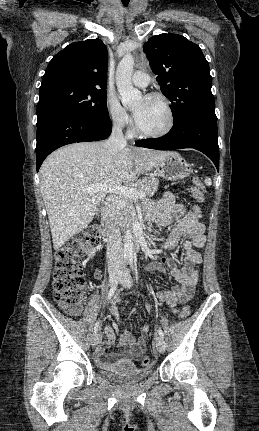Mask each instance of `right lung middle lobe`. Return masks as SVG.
<instances>
[{
  "instance_id": "obj_1",
  "label": "right lung middle lobe",
  "mask_w": 259,
  "mask_h": 431,
  "mask_svg": "<svg viewBox=\"0 0 259 431\" xmlns=\"http://www.w3.org/2000/svg\"><path fill=\"white\" fill-rule=\"evenodd\" d=\"M38 119L57 111H71L94 118H108L106 89L52 83L39 91Z\"/></svg>"
}]
</instances>
